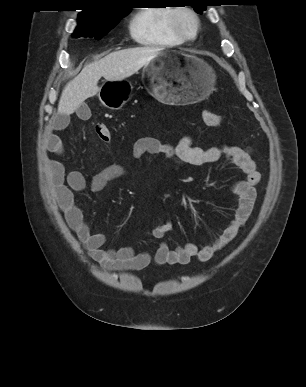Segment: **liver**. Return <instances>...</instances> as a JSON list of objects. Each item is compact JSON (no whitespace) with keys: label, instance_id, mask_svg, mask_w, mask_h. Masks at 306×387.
Listing matches in <instances>:
<instances>
[{"label":"liver","instance_id":"obj_1","mask_svg":"<svg viewBox=\"0 0 306 387\" xmlns=\"http://www.w3.org/2000/svg\"><path fill=\"white\" fill-rule=\"evenodd\" d=\"M161 51L157 47H136L112 52L99 61L87 64L80 74L67 83L58 104V113L70 115L84 101L99 93L98 81L104 77L116 82L130 77Z\"/></svg>","mask_w":306,"mask_h":387}]
</instances>
